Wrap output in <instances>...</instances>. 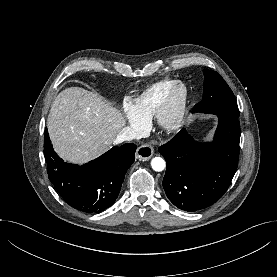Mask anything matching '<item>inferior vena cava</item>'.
I'll list each match as a JSON object with an SVG mask.
<instances>
[{
    "instance_id": "602c4592",
    "label": "inferior vena cava",
    "mask_w": 277,
    "mask_h": 277,
    "mask_svg": "<svg viewBox=\"0 0 277 277\" xmlns=\"http://www.w3.org/2000/svg\"><path fill=\"white\" fill-rule=\"evenodd\" d=\"M138 139L137 133L135 130L129 127H125L121 130V132L117 135L115 139V143H121L124 141H132Z\"/></svg>"
}]
</instances>
